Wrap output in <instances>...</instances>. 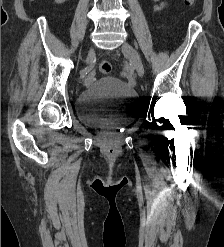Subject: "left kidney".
<instances>
[{
    "mask_svg": "<svg viewBox=\"0 0 224 247\" xmlns=\"http://www.w3.org/2000/svg\"><path fill=\"white\" fill-rule=\"evenodd\" d=\"M153 2H159V0H153Z\"/></svg>",
    "mask_w": 224,
    "mask_h": 247,
    "instance_id": "obj_1",
    "label": "left kidney"
}]
</instances>
